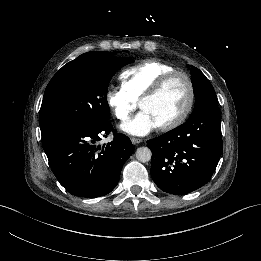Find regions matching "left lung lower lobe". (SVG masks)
I'll list each match as a JSON object with an SVG mask.
<instances>
[{"label": "left lung lower lobe", "mask_w": 261, "mask_h": 261, "mask_svg": "<svg viewBox=\"0 0 261 261\" xmlns=\"http://www.w3.org/2000/svg\"><path fill=\"white\" fill-rule=\"evenodd\" d=\"M151 176L164 192L185 195L207 184L220 159L221 116L208 109L151 140Z\"/></svg>", "instance_id": "obj_1"}]
</instances>
